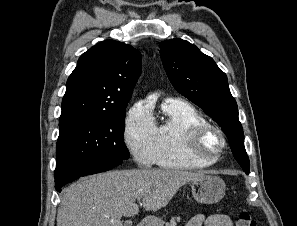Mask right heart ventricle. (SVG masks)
<instances>
[{
	"instance_id": "right-heart-ventricle-1",
	"label": "right heart ventricle",
	"mask_w": 297,
	"mask_h": 226,
	"mask_svg": "<svg viewBox=\"0 0 297 226\" xmlns=\"http://www.w3.org/2000/svg\"><path fill=\"white\" fill-rule=\"evenodd\" d=\"M162 119L156 125V163L171 169H199L210 164L193 158L187 150V136L197 125L208 123L190 103L168 99L162 106Z\"/></svg>"
}]
</instances>
